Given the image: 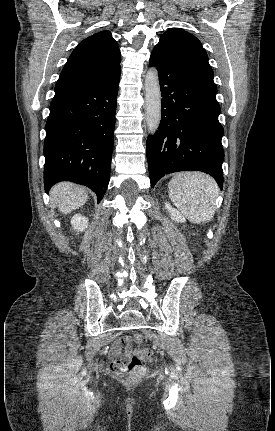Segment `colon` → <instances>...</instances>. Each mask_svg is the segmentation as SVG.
Wrapping results in <instances>:
<instances>
[{"label": "colon", "instance_id": "colon-1", "mask_svg": "<svg viewBox=\"0 0 275 431\" xmlns=\"http://www.w3.org/2000/svg\"><path fill=\"white\" fill-rule=\"evenodd\" d=\"M141 341L142 337L139 334H134L131 337H126L124 339L126 344H129L130 342L139 344ZM151 357V351L146 348H140L134 352L132 358L126 365L132 380H137L143 376L145 371L144 363L150 361Z\"/></svg>", "mask_w": 275, "mask_h": 431}]
</instances>
